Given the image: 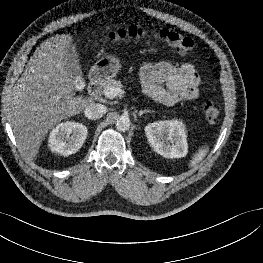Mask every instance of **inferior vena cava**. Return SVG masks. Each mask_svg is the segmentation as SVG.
<instances>
[{
	"mask_svg": "<svg viewBox=\"0 0 263 263\" xmlns=\"http://www.w3.org/2000/svg\"><path fill=\"white\" fill-rule=\"evenodd\" d=\"M107 108L99 103H90L84 110V114L88 119L96 120L106 113Z\"/></svg>",
	"mask_w": 263,
	"mask_h": 263,
	"instance_id": "obj_1",
	"label": "inferior vena cava"
}]
</instances>
